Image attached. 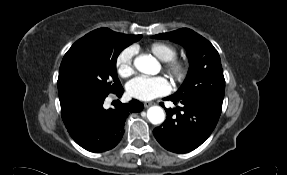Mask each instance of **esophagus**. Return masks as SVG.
<instances>
[{"label": "esophagus", "instance_id": "obj_1", "mask_svg": "<svg viewBox=\"0 0 287 175\" xmlns=\"http://www.w3.org/2000/svg\"><path fill=\"white\" fill-rule=\"evenodd\" d=\"M153 103L152 102H144V107L145 108H148L152 105Z\"/></svg>", "mask_w": 287, "mask_h": 175}]
</instances>
